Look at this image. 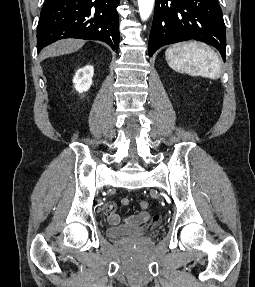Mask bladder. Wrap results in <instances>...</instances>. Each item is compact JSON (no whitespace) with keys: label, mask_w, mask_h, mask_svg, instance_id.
I'll return each mask as SVG.
<instances>
[{"label":"bladder","mask_w":255,"mask_h":287,"mask_svg":"<svg viewBox=\"0 0 255 287\" xmlns=\"http://www.w3.org/2000/svg\"><path fill=\"white\" fill-rule=\"evenodd\" d=\"M151 232L152 230L146 226L119 225L112 226L107 229V235L114 239L141 237L149 235Z\"/></svg>","instance_id":"obj_1"}]
</instances>
